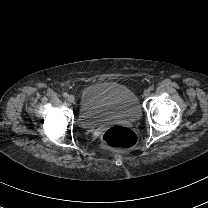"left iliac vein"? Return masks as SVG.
<instances>
[{
  "label": "left iliac vein",
  "instance_id": "obj_1",
  "mask_svg": "<svg viewBox=\"0 0 208 208\" xmlns=\"http://www.w3.org/2000/svg\"><path fill=\"white\" fill-rule=\"evenodd\" d=\"M143 94L145 97H148L150 95V90L146 89Z\"/></svg>",
  "mask_w": 208,
  "mask_h": 208
}]
</instances>
